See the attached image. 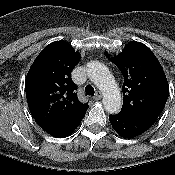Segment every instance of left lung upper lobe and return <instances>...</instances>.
<instances>
[{"instance_id": "left-lung-upper-lobe-1", "label": "left lung upper lobe", "mask_w": 175, "mask_h": 175, "mask_svg": "<svg viewBox=\"0 0 175 175\" xmlns=\"http://www.w3.org/2000/svg\"><path fill=\"white\" fill-rule=\"evenodd\" d=\"M123 77V106L120 113L160 114L169 96L165 73L153 52L143 43L129 42L122 53L110 58Z\"/></svg>"}]
</instances>
